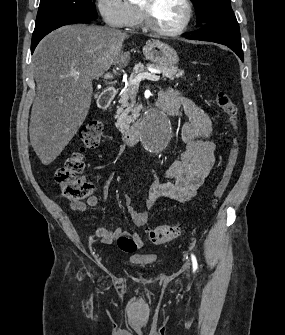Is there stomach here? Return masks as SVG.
<instances>
[{"mask_svg": "<svg viewBox=\"0 0 285 335\" xmlns=\"http://www.w3.org/2000/svg\"><path fill=\"white\" fill-rule=\"evenodd\" d=\"M143 54L146 60H150L153 64L158 66H167V68H173L179 62L176 50L159 42V40H153V42H147L143 48Z\"/></svg>", "mask_w": 285, "mask_h": 335, "instance_id": "obj_1", "label": "stomach"}]
</instances>
